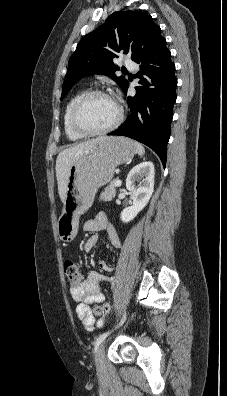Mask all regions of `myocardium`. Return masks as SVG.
<instances>
[{
  "label": "myocardium",
  "mask_w": 227,
  "mask_h": 396,
  "mask_svg": "<svg viewBox=\"0 0 227 396\" xmlns=\"http://www.w3.org/2000/svg\"><path fill=\"white\" fill-rule=\"evenodd\" d=\"M92 96H104L112 99L108 93H106L103 90L100 89H90L87 91H84L81 93L78 98L75 100L72 109H71V115H70V122L73 127V129L78 132L81 135L84 136H97V135H103L107 134L114 129H116L123 121L124 118V111L123 108L117 104L118 107V115L117 118L113 123H111L109 126L99 129V130H92L86 128L80 121L79 114L81 107L83 103L90 97Z\"/></svg>",
  "instance_id": "1"
}]
</instances>
